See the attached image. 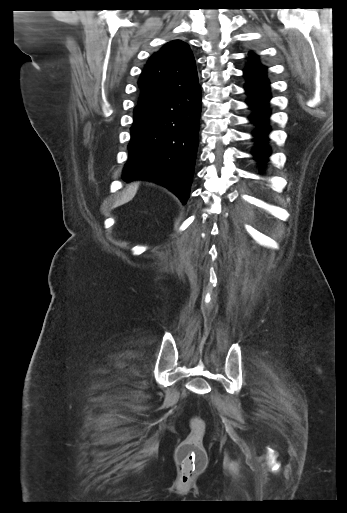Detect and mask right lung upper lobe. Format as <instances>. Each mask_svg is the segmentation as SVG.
<instances>
[{
    "label": "right lung upper lobe",
    "mask_w": 347,
    "mask_h": 513,
    "mask_svg": "<svg viewBox=\"0 0 347 513\" xmlns=\"http://www.w3.org/2000/svg\"><path fill=\"white\" fill-rule=\"evenodd\" d=\"M139 102L151 101L188 91L198 86V76L189 46L174 40L154 53L139 80Z\"/></svg>",
    "instance_id": "right-lung-upper-lobe-1"
}]
</instances>
